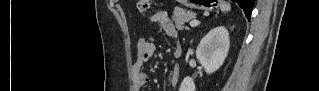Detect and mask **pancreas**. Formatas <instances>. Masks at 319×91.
Wrapping results in <instances>:
<instances>
[{
  "label": "pancreas",
  "mask_w": 319,
  "mask_h": 91,
  "mask_svg": "<svg viewBox=\"0 0 319 91\" xmlns=\"http://www.w3.org/2000/svg\"><path fill=\"white\" fill-rule=\"evenodd\" d=\"M196 17V14L191 11H185L180 8H176L172 15V20L175 22L176 28L178 30H183L185 23Z\"/></svg>",
  "instance_id": "obj_1"
}]
</instances>
